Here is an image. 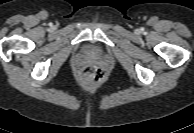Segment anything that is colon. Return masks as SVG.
Segmentation results:
<instances>
[{
	"label": "colon",
	"instance_id": "1",
	"mask_svg": "<svg viewBox=\"0 0 194 133\" xmlns=\"http://www.w3.org/2000/svg\"><path fill=\"white\" fill-rule=\"evenodd\" d=\"M79 77L82 83L95 86L103 80L104 72L98 66L88 65L80 70Z\"/></svg>",
	"mask_w": 194,
	"mask_h": 133
}]
</instances>
